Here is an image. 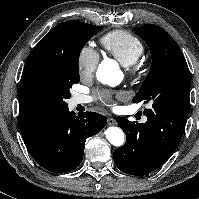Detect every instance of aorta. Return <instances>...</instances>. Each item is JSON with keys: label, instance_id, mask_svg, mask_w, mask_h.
Returning <instances> with one entry per match:
<instances>
[{"label": "aorta", "instance_id": "aorta-1", "mask_svg": "<svg viewBox=\"0 0 199 199\" xmlns=\"http://www.w3.org/2000/svg\"><path fill=\"white\" fill-rule=\"evenodd\" d=\"M97 78L104 84L117 85L122 80V72L114 66L102 63L98 68ZM105 135L107 140L114 146H121L125 141L124 133L118 127L107 128Z\"/></svg>", "mask_w": 199, "mask_h": 199}]
</instances>
